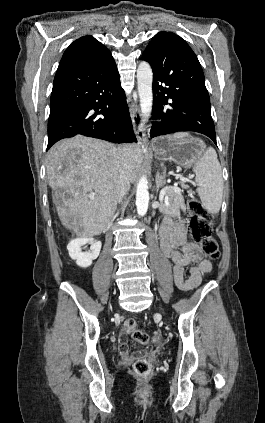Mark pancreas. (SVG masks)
I'll return each instance as SVG.
<instances>
[{
  "instance_id": "pancreas-1",
  "label": "pancreas",
  "mask_w": 265,
  "mask_h": 423,
  "mask_svg": "<svg viewBox=\"0 0 265 423\" xmlns=\"http://www.w3.org/2000/svg\"><path fill=\"white\" fill-rule=\"evenodd\" d=\"M183 186L186 187L185 185ZM165 200L168 204L165 201L161 203L160 212L172 217H179L180 209L184 207V197L181 190L179 192L173 189L168 190L165 194Z\"/></svg>"
}]
</instances>
